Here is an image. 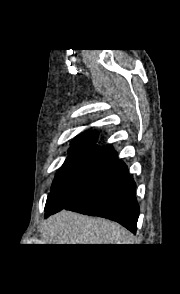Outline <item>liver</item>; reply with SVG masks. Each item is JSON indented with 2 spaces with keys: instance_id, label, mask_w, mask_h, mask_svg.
I'll list each match as a JSON object with an SVG mask.
<instances>
[{
  "instance_id": "liver-1",
  "label": "liver",
  "mask_w": 180,
  "mask_h": 294,
  "mask_svg": "<svg viewBox=\"0 0 180 294\" xmlns=\"http://www.w3.org/2000/svg\"><path fill=\"white\" fill-rule=\"evenodd\" d=\"M46 244H133L134 236L112 221L61 211L44 221Z\"/></svg>"
}]
</instances>
